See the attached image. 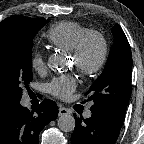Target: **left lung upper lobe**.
I'll return each instance as SVG.
<instances>
[{"label":"left lung upper lobe","instance_id":"1","mask_svg":"<svg viewBox=\"0 0 144 144\" xmlns=\"http://www.w3.org/2000/svg\"><path fill=\"white\" fill-rule=\"evenodd\" d=\"M112 33L114 44L109 59L100 77L87 91L88 100H93V109H101L123 119L131 95L132 55L129 42L116 24Z\"/></svg>","mask_w":144,"mask_h":144}]
</instances>
